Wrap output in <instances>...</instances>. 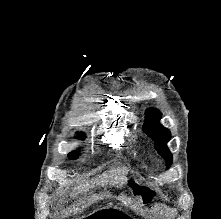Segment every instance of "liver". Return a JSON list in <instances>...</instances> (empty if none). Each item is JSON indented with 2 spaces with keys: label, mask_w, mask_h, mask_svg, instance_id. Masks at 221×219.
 <instances>
[{
  "label": "liver",
  "mask_w": 221,
  "mask_h": 219,
  "mask_svg": "<svg viewBox=\"0 0 221 219\" xmlns=\"http://www.w3.org/2000/svg\"><path fill=\"white\" fill-rule=\"evenodd\" d=\"M125 169H113L110 170L109 172H104L99 178L91 179L90 181H86L85 183H82L78 186V193L81 192H86L90 188L95 187V185L99 186H104L107 185L109 182V179H111L112 185H115L116 183H120V186L124 183L125 181ZM114 179V180H113ZM77 194L75 193L74 196Z\"/></svg>",
  "instance_id": "6515ba94"
}]
</instances>
